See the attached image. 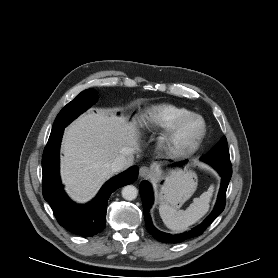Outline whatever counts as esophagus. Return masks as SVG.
<instances>
[{
    "mask_svg": "<svg viewBox=\"0 0 278 278\" xmlns=\"http://www.w3.org/2000/svg\"><path fill=\"white\" fill-rule=\"evenodd\" d=\"M139 176L142 178H148L151 176V170L147 166H141L139 169Z\"/></svg>",
    "mask_w": 278,
    "mask_h": 278,
    "instance_id": "esophagus-1",
    "label": "esophagus"
}]
</instances>
